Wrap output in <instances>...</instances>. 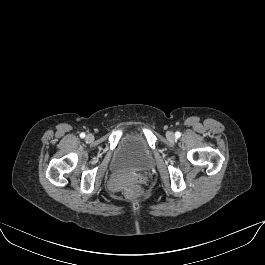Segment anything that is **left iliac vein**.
<instances>
[{"label":"left iliac vein","instance_id":"obj_1","mask_svg":"<svg viewBox=\"0 0 265 265\" xmlns=\"http://www.w3.org/2000/svg\"><path fill=\"white\" fill-rule=\"evenodd\" d=\"M166 137H167V139L170 140V141H173V140L175 139L174 133L171 132V131H168V132L166 133Z\"/></svg>","mask_w":265,"mask_h":265}]
</instances>
